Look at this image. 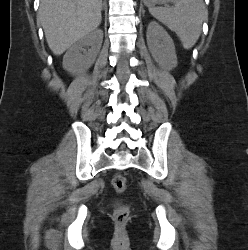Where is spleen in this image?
Here are the masks:
<instances>
[{
	"label": "spleen",
	"instance_id": "obj_1",
	"mask_svg": "<svg viewBox=\"0 0 248 250\" xmlns=\"http://www.w3.org/2000/svg\"><path fill=\"white\" fill-rule=\"evenodd\" d=\"M174 7H149L150 14L174 31L185 49L200 37L207 13L203 0H172Z\"/></svg>",
	"mask_w": 248,
	"mask_h": 250
}]
</instances>
